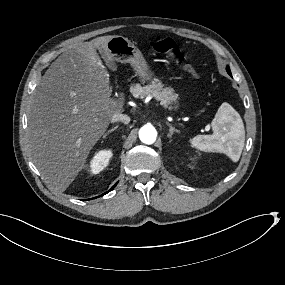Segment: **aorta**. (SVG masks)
Returning <instances> with one entry per match:
<instances>
[{
  "mask_svg": "<svg viewBox=\"0 0 285 285\" xmlns=\"http://www.w3.org/2000/svg\"><path fill=\"white\" fill-rule=\"evenodd\" d=\"M139 138L144 144H153L157 138V131L153 126L145 125L140 129Z\"/></svg>",
  "mask_w": 285,
  "mask_h": 285,
  "instance_id": "1",
  "label": "aorta"
}]
</instances>
